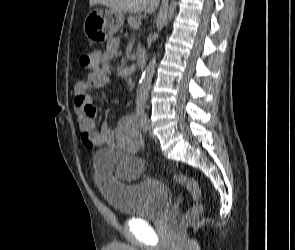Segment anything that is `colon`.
Wrapping results in <instances>:
<instances>
[{"instance_id":"colon-1","label":"colon","mask_w":295,"mask_h":250,"mask_svg":"<svg viewBox=\"0 0 295 250\" xmlns=\"http://www.w3.org/2000/svg\"><path fill=\"white\" fill-rule=\"evenodd\" d=\"M93 63V57L90 53H85L80 57V65L83 68H89ZM170 178L184 186L190 193L192 199L194 200L193 206L186 212L183 217V222H189L197 218L202 212L201 201V190L195 179L192 177L182 174V173H172Z\"/></svg>"}]
</instances>
